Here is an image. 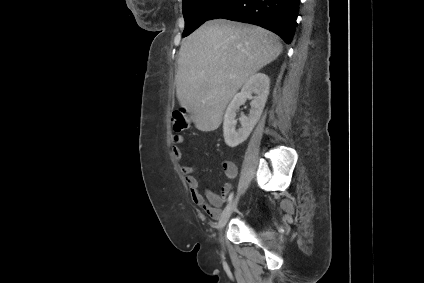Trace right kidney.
<instances>
[{"mask_svg": "<svg viewBox=\"0 0 424 283\" xmlns=\"http://www.w3.org/2000/svg\"><path fill=\"white\" fill-rule=\"evenodd\" d=\"M269 86V77L264 73H256L246 81L241 92L236 94L229 103L223 122L224 140L229 147H236L249 137L262 115L269 94ZM252 94L255 96L253 97ZM247 99L251 100L250 113L248 116L241 115L239 120L242 127L236 131L237 109Z\"/></svg>", "mask_w": 424, "mask_h": 283, "instance_id": "1", "label": "right kidney"}]
</instances>
